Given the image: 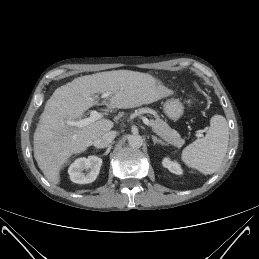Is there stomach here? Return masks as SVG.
Segmentation results:
<instances>
[{
  "instance_id": "obj_1",
  "label": "stomach",
  "mask_w": 259,
  "mask_h": 259,
  "mask_svg": "<svg viewBox=\"0 0 259 259\" xmlns=\"http://www.w3.org/2000/svg\"><path fill=\"white\" fill-rule=\"evenodd\" d=\"M164 112L172 120H178L184 112L183 104L177 99H168L164 103Z\"/></svg>"
}]
</instances>
